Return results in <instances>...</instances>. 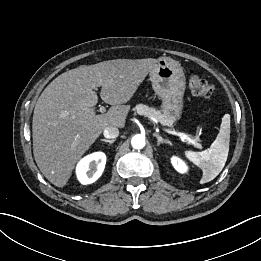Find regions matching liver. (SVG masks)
<instances>
[{
	"instance_id": "obj_1",
	"label": "liver",
	"mask_w": 261,
	"mask_h": 261,
	"mask_svg": "<svg viewBox=\"0 0 261 261\" xmlns=\"http://www.w3.org/2000/svg\"><path fill=\"white\" fill-rule=\"evenodd\" d=\"M157 59H116L71 69L55 78L36 102L33 154L43 175L64 187L78 160L108 126L124 128L130 110L125 105L156 66ZM111 105L97 115L95 91Z\"/></svg>"
}]
</instances>
